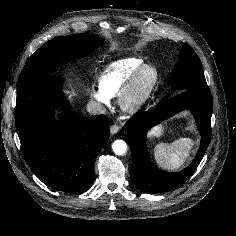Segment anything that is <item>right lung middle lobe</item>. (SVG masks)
<instances>
[{
  "label": "right lung middle lobe",
  "mask_w": 236,
  "mask_h": 236,
  "mask_svg": "<svg viewBox=\"0 0 236 236\" xmlns=\"http://www.w3.org/2000/svg\"><path fill=\"white\" fill-rule=\"evenodd\" d=\"M104 40L91 34H73L54 38L42 45L25 64L18 84L39 76L51 75L64 57H84Z\"/></svg>",
  "instance_id": "right-lung-middle-lobe-1"
}]
</instances>
